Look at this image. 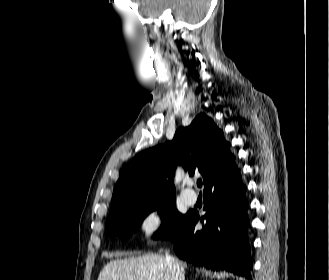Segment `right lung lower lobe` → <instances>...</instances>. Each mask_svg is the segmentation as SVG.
Returning <instances> with one entry per match:
<instances>
[{"label":"right lung lower lobe","mask_w":329,"mask_h":280,"mask_svg":"<svg viewBox=\"0 0 329 280\" xmlns=\"http://www.w3.org/2000/svg\"><path fill=\"white\" fill-rule=\"evenodd\" d=\"M246 187L236 164L205 186L204 228L195 230L197 212H189L183 226L171 238L179 258L209 268L226 269L251 279L246 216Z\"/></svg>","instance_id":"right-lung-lower-lobe-1"}]
</instances>
